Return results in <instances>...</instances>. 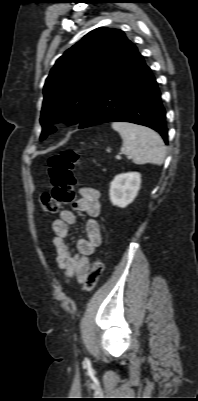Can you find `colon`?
I'll return each mask as SVG.
<instances>
[{"label": "colon", "instance_id": "colon-1", "mask_svg": "<svg viewBox=\"0 0 198 401\" xmlns=\"http://www.w3.org/2000/svg\"><path fill=\"white\" fill-rule=\"evenodd\" d=\"M77 160L78 155L73 150H67L49 158L48 174L53 188L51 193L43 194L40 198V207L43 213L54 214L63 206L74 201L76 180L73 167ZM103 267L102 261L96 258L87 278L86 287L88 290H92L99 282Z\"/></svg>", "mask_w": 198, "mask_h": 401}]
</instances>
